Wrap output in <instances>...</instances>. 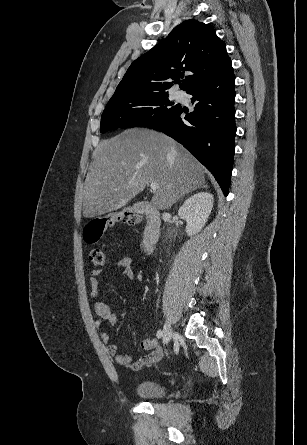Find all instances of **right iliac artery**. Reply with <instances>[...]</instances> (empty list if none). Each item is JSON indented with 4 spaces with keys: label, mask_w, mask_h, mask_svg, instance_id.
<instances>
[{
    "label": "right iliac artery",
    "mask_w": 307,
    "mask_h": 445,
    "mask_svg": "<svg viewBox=\"0 0 307 445\" xmlns=\"http://www.w3.org/2000/svg\"><path fill=\"white\" fill-rule=\"evenodd\" d=\"M163 336V331L162 330H158L157 331V337L161 338Z\"/></svg>",
    "instance_id": "right-iliac-artery-1"
}]
</instances>
